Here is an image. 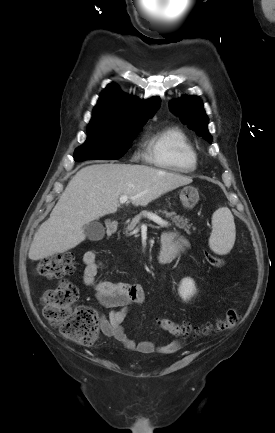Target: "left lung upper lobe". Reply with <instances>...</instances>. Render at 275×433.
Listing matches in <instances>:
<instances>
[{"label": "left lung upper lobe", "instance_id": "obj_1", "mask_svg": "<svg viewBox=\"0 0 275 433\" xmlns=\"http://www.w3.org/2000/svg\"><path fill=\"white\" fill-rule=\"evenodd\" d=\"M170 110L180 116L181 121L188 127L202 136L209 143L212 137L207 129L208 117L203 109V104L196 96H186L178 100L171 101Z\"/></svg>", "mask_w": 275, "mask_h": 433}]
</instances>
